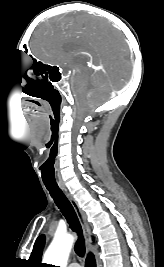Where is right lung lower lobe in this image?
Masks as SVG:
<instances>
[{
	"mask_svg": "<svg viewBox=\"0 0 164 267\" xmlns=\"http://www.w3.org/2000/svg\"><path fill=\"white\" fill-rule=\"evenodd\" d=\"M85 267H96V262L93 254H89L86 262Z\"/></svg>",
	"mask_w": 164,
	"mask_h": 267,
	"instance_id": "obj_1",
	"label": "right lung lower lobe"
}]
</instances>
